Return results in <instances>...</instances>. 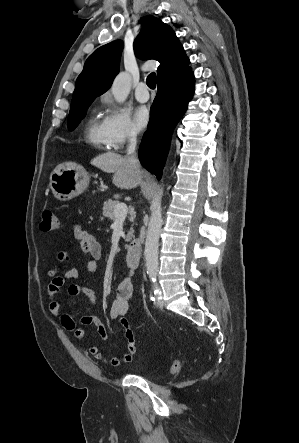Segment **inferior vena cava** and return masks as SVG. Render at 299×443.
<instances>
[{
  "label": "inferior vena cava",
  "mask_w": 299,
  "mask_h": 443,
  "mask_svg": "<svg viewBox=\"0 0 299 443\" xmlns=\"http://www.w3.org/2000/svg\"><path fill=\"white\" fill-rule=\"evenodd\" d=\"M128 138H129V145L127 147V157L136 165H139L138 163V158L136 156L135 153V149H136V138H137V134L135 131L133 130H129L128 133Z\"/></svg>",
  "instance_id": "1"
}]
</instances>
